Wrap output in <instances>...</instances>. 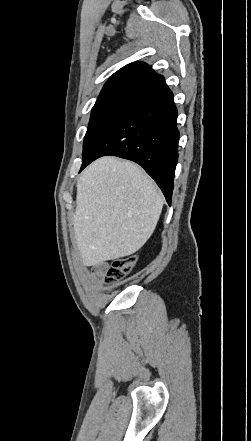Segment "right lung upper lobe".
<instances>
[{
    "mask_svg": "<svg viewBox=\"0 0 251 441\" xmlns=\"http://www.w3.org/2000/svg\"><path fill=\"white\" fill-rule=\"evenodd\" d=\"M164 81L146 63L133 62L114 73L105 83L96 102L124 99L137 101Z\"/></svg>",
    "mask_w": 251,
    "mask_h": 441,
    "instance_id": "obj_1",
    "label": "right lung upper lobe"
}]
</instances>
